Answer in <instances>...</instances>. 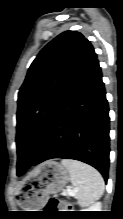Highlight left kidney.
I'll return each mask as SVG.
<instances>
[{
    "mask_svg": "<svg viewBox=\"0 0 123 219\" xmlns=\"http://www.w3.org/2000/svg\"><path fill=\"white\" fill-rule=\"evenodd\" d=\"M85 211H101V203L98 202L94 206H91L90 209H86Z\"/></svg>",
    "mask_w": 123,
    "mask_h": 219,
    "instance_id": "obj_1",
    "label": "left kidney"
}]
</instances>
